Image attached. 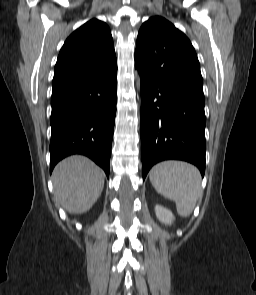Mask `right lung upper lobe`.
I'll list each match as a JSON object with an SVG mask.
<instances>
[{"label":"right lung upper lobe","mask_w":256,"mask_h":295,"mask_svg":"<svg viewBox=\"0 0 256 295\" xmlns=\"http://www.w3.org/2000/svg\"><path fill=\"white\" fill-rule=\"evenodd\" d=\"M117 66L109 27L92 19L65 41L55 65L52 86Z\"/></svg>","instance_id":"cb5924a9"}]
</instances>
